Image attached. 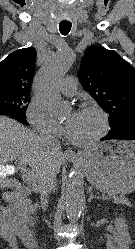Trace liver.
Masks as SVG:
<instances>
[{
	"label": "liver",
	"mask_w": 135,
	"mask_h": 249,
	"mask_svg": "<svg viewBox=\"0 0 135 249\" xmlns=\"http://www.w3.org/2000/svg\"><path fill=\"white\" fill-rule=\"evenodd\" d=\"M16 159L31 167L32 179L29 183L34 190L39 189L40 178L46 172L54 170L57 175L62 164L61 152L55 154L42 137L15 120L0 116V166ZM5 188L20 189L21 183L8 174L0 175V189Z\"/></svg>",
	"instance_id": "1"
}]
</instances>
